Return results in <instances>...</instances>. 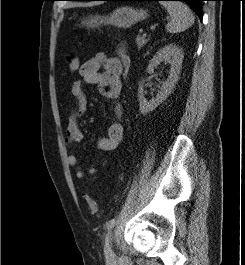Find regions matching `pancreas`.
Instances as JSON below:
<instances>
[{
	"instance_id": "cf45deb5",
	"label": "pancreas",
	"mask_w": 245,
	"mask_h": 265,
	"mask_svg": "<svg viewBox=\"0 0 245 265\" xmlns=\"http://www.w3.org/2000/svg\"><path fill=\"white\" fill-rule=\"evenodd\" d=\"M135 42L137 47L140 49L148 42V39H146L145 36L138 35Z\"/></svg>"
}]
</instances>
